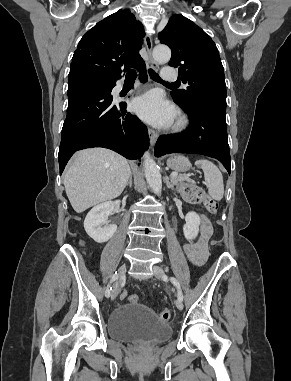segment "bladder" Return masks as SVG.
<instances>
[{"label":"bladder","instance_id":"31cf9c89","mask_svg":"<svg viewBox=\"0 0 291 381\" xmlns=\"http://www.w3.org/2000/svg\"><path fill=\"white\" fill-rule=\"evenodd\" d=\"M107 330L111 339L120 342L158 343L172 333L170 324L141 302L117 306L108 316Z\"/></svg>","mask_w":291,"mask_h":381}]
</instances>
